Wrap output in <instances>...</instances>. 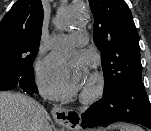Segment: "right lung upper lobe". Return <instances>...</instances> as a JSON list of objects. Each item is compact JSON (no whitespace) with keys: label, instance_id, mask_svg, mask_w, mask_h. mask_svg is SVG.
Masks as SVG:
<instances>
[{"label":"right lung upper lobe","instance_id":"right-lung-upper-lobe-1","mask_svg":"<svg viewBox=\"0 0 151 131\" xmlns=\"http://www.w3.org/2000/svg\"><path fill=\"white\" fill-rule=\"evenodd\" d=\"M43 15L41 0H18L0 23V52L22 48L37 54Z\"/></svg>","mask_w":151,"mask_h":131}]
</instances>
